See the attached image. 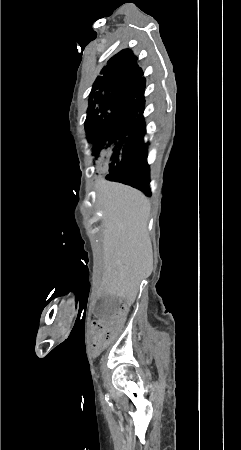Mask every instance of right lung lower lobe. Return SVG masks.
Masks as SVG:
<instances>
[{
	"mask_svg": "<svg viewBox=\"0 0 241 450\" xmlns=\"http://www.w3.org/2000/svg\"><path fill=\"white\" fill-rule=\"evenodd\" d=\"M140 131L145 133L144 121L140 124ZM149 165L147 163V144L142 140L130 153L109 171L106 178L110 181L122 182L140 189L150 196Z\"/></svg>",
	"mask_w": 241,
	"mask_h": 450,
	"instance_id": "right-lung-lower-lobe-1",
	"label": "right lung lower lobe"
}]
</instances>
